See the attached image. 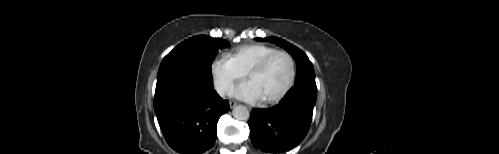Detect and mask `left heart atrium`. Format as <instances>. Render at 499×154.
<instances>
[{"mask_svg": "<svg viewBox=\"0 0 499 154\" xmlns=\"http://www.w3.org/2000/svg\"><path fill=\"white\" fill-rule=\"evenodd\" d=\"M231 95L247 102H258L263 100L256 85L251 81L243 82L235 86L231 90Z\"/></svg>", "mask_w": 499, "mask_h": 154, "instance_id": "1", "label": "left heart atrium"}]
</instances>
